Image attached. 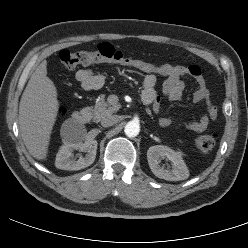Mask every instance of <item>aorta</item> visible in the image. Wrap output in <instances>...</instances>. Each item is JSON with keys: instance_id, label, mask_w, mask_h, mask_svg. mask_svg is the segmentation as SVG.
I'll return each instance as SVG.
<instances>
[{"instance_id": "aorta-1", "label": "aorta", "mask_w": 248, "mask_h": 248, "mask_svg": "<svg viewBox=\"0 0 248 248\" xmlns=\"http://www.w3.org/2000/svg\"><path fill=\"white\" fill-rule=\"evenodd\" d=\"M124 132L128 137H136L140 132L139 123L129 121L125 126Z\"/></svg>"}]
</instances>
